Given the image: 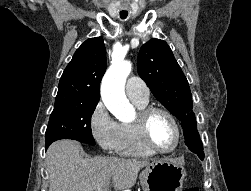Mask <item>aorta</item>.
<instances>
[{
  "instance_id": "1",
  "label": "aorta",
  "mask_w": 251,
  "mask_h": 191,
  "mask_svg": "<svg viewBox=\"0 0 251 191\" xmlns=\"http://www.w3.org/2000/svg\"><path fill=\"white\" fill-rule=\"evenodd\" d=\"M131 68V62H124L121 56L117 58L113 54L112 66L102 80V99L107 109L121 121H130L134 115V107L125 96V84Z\"/></svg>"
}]
</instances>
